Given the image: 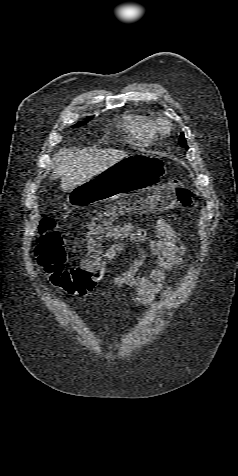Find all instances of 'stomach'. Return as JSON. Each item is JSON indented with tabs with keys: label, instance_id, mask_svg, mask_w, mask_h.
I'll use <instances>...</instances> for the list:
<instances>
[{
	"label": "stomach",
	"instance_id": "1",
	"mask_svg": "<svg viewBox=\"0 0 238 476\" xmlns=\"http://www.w3.org/2000/svg\"><path fill=\"white\" fill-rule=\"evenodd\" d=\"M165 171L166 166L158 156H124L108 169L70 189L67 202L74 208H84L120 195H136L137 190H150L151 183H160Z\"/></svg>",
	"mask_w": 238,
	"mask_h": 476
}]
</instances>
